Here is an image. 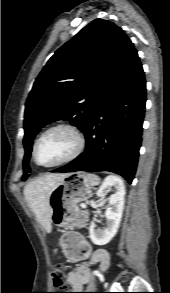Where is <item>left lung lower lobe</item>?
Returning <instances> with one entry per match:
<instances>
[{
	"label": "left lung lower lobe",
	"instance_id": "left-lung-lower-lobe-1",
	"mask_svg": "<svg viewBox=\"0 0 170 293\" xmlns=\"http://www.w3.org/2000/svg\"><path fill=\"white\" fill-rule=\"evenodd\" d=\"M146 102V82L133 49L111 80L85 129L86 149L52 172L110 171L134 179Z\"/></svg>",
	"mask_w": 170,
	"mask_h": 293
}]
</instances>
